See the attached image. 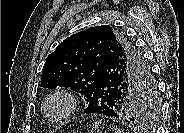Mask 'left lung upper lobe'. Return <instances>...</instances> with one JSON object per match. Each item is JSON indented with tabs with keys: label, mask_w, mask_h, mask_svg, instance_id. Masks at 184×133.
Returning <instances> with one entry per match:
<instances>
[{
	"label": "left lung upper lobe",
	"mask_w": 184,
	"mask_h": 133,
	"mask_svg": "<svg viewBox=\"0 0 184 133\" xmlns=\"http://www.w3.org/2000/svg\"><path fill=\"white\" fill-rule=\"evenodd\" d=\"M106 57L115 59L123 67L126 89L130 90L120 119L138 127L149 125L159 109L151 70L126 36L110 25L90 27L66 38L48 55L40 86L71 87L84 95L88 103L101 80L102 62ZM141 81L151 86V95L143 92Z\"/></svg>",
	"instance_id": "1"
}]
</instances>
